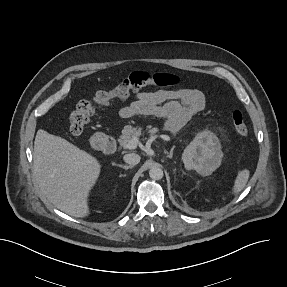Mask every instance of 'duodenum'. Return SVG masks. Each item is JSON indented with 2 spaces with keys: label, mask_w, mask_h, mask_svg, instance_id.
<instances>
[{
  "label": "duodenum",
  "mask_w": 287,
  "mask_h": 287,
  "mask_svg": "<svg viewBox=\"0 0 287 287\" xmlns=\"http://www.w3.org/2000/svg\"><path fill=\"white\" fill-rule=\"evenodd\" d=\"M93 144L104 153L113 154L117 149V142L112 136L96 134L92 138Z\"/></svg>",
  "instance_id": "obj_1"
}]
</instances>
